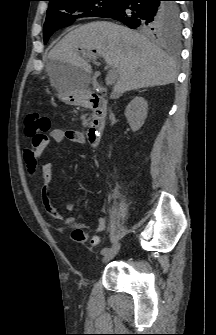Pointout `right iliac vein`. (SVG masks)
Segmentation results:
<instances>
[{"mask_svg": "<svg viewBox=\"0 0 216 335\" xmlns=\"http://www.w3.org/2000/svg\"><path fill=\"white\" fill-rule=\"evenodd\" d=\"M121 242H115L112 247L110 248L109 252L106 253L103 258H102V262L106 263L110 260H112L114 257H116V255L119 253L120 249H121Z\"/></svg>", "mask_w": 216, "mask_h": 335, "instance_id": "1", "label": "right iliac vein"}]
</instances>
